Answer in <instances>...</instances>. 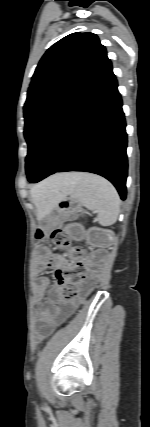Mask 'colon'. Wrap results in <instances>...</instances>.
I'll return each instance as SVG.
<instances>
[{
    "label": "colon",
    "mask_w": 150,
    "mask_h": 427,
    "mask_svg": "<svg viewBox=\"0 0 150 427\" xmlns=\"http://www.w3.org/2000/svg\"><path fill=\"white\" fill-rule=\"evenodd\" d=\"M43 233L39 231L37 237L41 238ZM51 239L58 247H66L68 242L67 234L62 230H55L51 234ZM76 255H81V250L77 249L74 252ZM84 270L80 264L73 268H63L56 271V279L58 288L65 300L74 298L75 292L73 287L77 286L84 279Z\"/></svg>",
    "instance_id": "5ec220e1"
}]
</instances>
